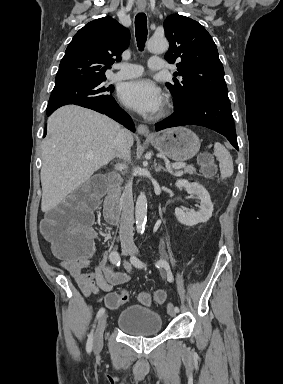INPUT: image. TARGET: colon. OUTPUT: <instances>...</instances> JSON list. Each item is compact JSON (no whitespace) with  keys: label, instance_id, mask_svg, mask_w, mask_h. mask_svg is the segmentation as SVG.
Wrapping results in <instances>:
<instances>
[{"label":"colon","instance_id":"colon-1","mask_svg":"<svg viewBox=\"0 0 283 384\" xmlns=\"http://www.w3.org/2000/svg\"><path fill=\"white\" fill-rule=\"evenodd\" d=\"M200 163L206 175L214 174L215 165L210 156L203 155ZM104 189V180L94 178L70 193L60 205L46 215L41 230L44 237L51 242L58 257L79 261L91 256L94 236L91 229L93 211ZM127 298L125 290L111 292L105 297V305L109 309H116ZM137 298L144 305L162 304L165 301V293L161 290L153 293L140 292Z\"/></svg>","mask_w":283,"mask_h":384}]
</instances>
